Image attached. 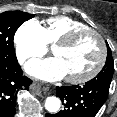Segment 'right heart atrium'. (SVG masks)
Returning a JSON list of instances; mask_svg holds the SVG:
<instances>
[{"label":"right heart atrium","mask_w":117,"mask_h":117,"mask_svg":"<svg viewBox=\"0 0 117 117\" xmlns=\"http://www.w3.org/2000/svg\"><path fill=\"white\" fill-rule=\"evenodd\" d=\"M16 55L21 63L39 58L47 52L41 25L35 20L22 24L15 33Z\"/></svg>","instance_id":"d8ad5b80"}]
</instances>
